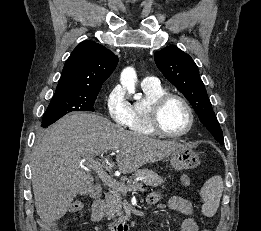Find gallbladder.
Listing matches in <instances>:
<instances>
[{
  "instance_id": "1",
  "label": "gallbladder",
  "mask_w": 261,
  "mask_h": 231,
  "mask_svg": "<svg viewBox=\"0 0 261 231\" xmlns=\"http://www.w3.org/2000/svg\"><path fill=\"white\" fill-rule=\"evenodd\" d=\"M95 194H96V191L94 190V191L91 193V195H92V196H95Z\"/></svg>"
}]
</instances>
